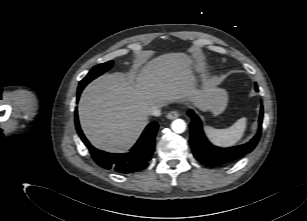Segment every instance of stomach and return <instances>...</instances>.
<instances>
[{"instance_id": "stomach-1", "label": "stomach", "mask_w": 307, "mask_h": 221, "mask_svg": "<svg viewBox=\"0 0 307 221\" xmlns=\"http://www.w3.org/2000/svg\"><path fill=\"white\" fill-rule=\"evenodd\" d=\"M228 101L227 92L222 88H217L213 103L209 109L212 115H218L224 111Z\"/></svg>"}]
</instances>
